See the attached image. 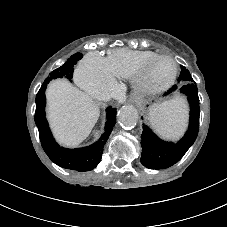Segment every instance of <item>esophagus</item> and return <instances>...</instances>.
I'll return each mask as SVG.
<instances>
[{
    "label": "esophagus",
    "instance_id": "esophagus-1",
    "mask_svg": "<svg viewBox=\"0 0 227 227\" xmlns=\"http://www.w3.org/2000/svg\"><path fill=\"white\" fill-rule=\"evenodd\" d=\"M136 107H137L138 110L143 111V110L146 109L147 104H146L145 101L140 100V101L137 102Z\"/></svg>",
    "mask_w": 227,
    "mask_h": 227
}]
</instances>
